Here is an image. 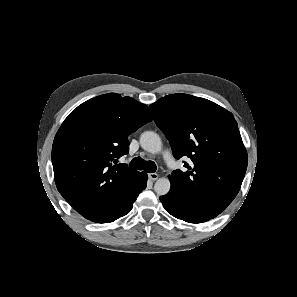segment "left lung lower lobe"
<instances>
[{
    "mask_svg": "<svg viewBox=\"0 0 297 297\" xmlns=\"http://www.w3.org/2000/svg\"><path fill=\"white\" fill-rule=\"evenodd\" d=\"M160 200L168 213L188 223H202L212 219L210 216L201 213L191 205L182 201L181 197L169 192L161 196Z\"/></svg>",
    "mask_w": 297,
    "mask_h": 297,
    "instance_id": "obj_1",
    "label": "left lung lower lobe"
}]
</instances>
